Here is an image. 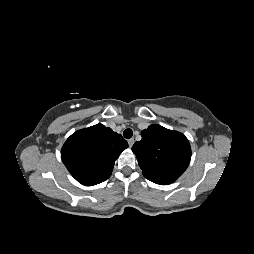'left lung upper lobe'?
Here are the masks:
<instances>
[{
  "instance_id": "1",
  "label": "left lung upper lobe",
  "mask_w": 254,
  "mask_h": 254,
  "mask_svg": "<svg viewBox=\"0 0 254 254\" xmlns=\"http://www.w3.org/2000/svg\"><path fill=\"white\" fill-rule=\"evenodd\" d=\"M141 136L132 151L144 177L160 185L176 181L191 159V147L185 135L160 125H151L141 132Z\"/></svg>"
}]
</instances>
